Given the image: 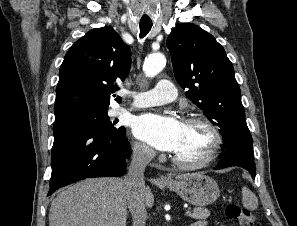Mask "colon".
Wrapping results in <instances>:
<instances>
[{"label":"colon","mask_w":297,"mask_h":226,"mask_svg":"<svg viewBox=\"0 0 297 226\" xmlns=\"http://www.w3.org/2000/svg\"><path fill=\"white\" fill-rule=\"evenodd\" d=\"M228 219L237 222L240 226H254V216L237 204H229L225 209Z\"/></svg>","instance_id":"obj_1"}]
</instances>
